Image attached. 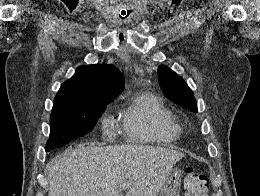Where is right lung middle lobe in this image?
<instances>
[{
	"instance_id": "right-lung-middle-lobe-1",
	"label": "right lung middle lobe",
	"mask_w": 260,
	"mask_h": 196,
	"mask_svg": "<svg viewBox=\"0 0 260 196\" xmlns=\"http://www.w3.org/2000/svg\"><path fill=\"white\" fill-rule=\"evenodd\" d=\"M109 103L53 106L46 151L91 132Z\"/></svg>"
}]
</instances>
